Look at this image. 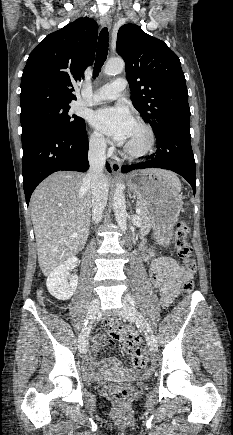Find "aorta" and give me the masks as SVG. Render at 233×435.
<instances>
[{"mask_svg":"<svg viewBox=\"0 0 233 435\" xmlns=\"http://www.w3.org/2000/svg\"><path fill=\"white\" fill-rule=\"evenodd\" d=\"M124 68L125 63L122 59H110L105 65L104 74L107 76H115L120 74ZM113 209L119 228L125 232L127 229V212L123 185L121 183L116 184L113 197Z\"/></svg>","mask_w":233,"mask_h":435,"instance_id":"obj_1","label":"aorta"}]
</instances>
